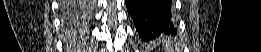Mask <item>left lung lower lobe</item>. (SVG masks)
<instances>
[{"instance_id":"left-lung-lower-lobe-1","label":"left lung lower lobe","mask_w":261,"mask_h":52,"mask_svg":"<svg viewBox=\"0 0 261 52\" xmlns=\"http://www.w3.org/2000/svg\"><path fill=\"white\" fill-rule=\"evenodd\" d=\"M125 2L143 41L177 33L171 0H125Z\"/></svg>"}]
</instances>
